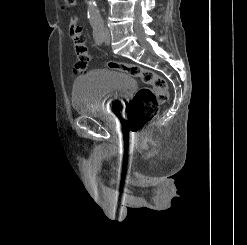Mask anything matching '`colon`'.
<instances>
[{"label": "colon", "mask_w": 247, "mask_h": 245, "mask_svg": "<svg viewBox=\"0 0 247 245\" xmlns=\"http://www.w3.org/2000/svg\"><path fill=\"white\" fill-rule=\"evenodd\" d=\"M75 0H64V6L71 8ZM70 38L74 41L77 56L73 64V72L83 73L88 69L91 60L89 48L79 33L71 30ZM108 68L139 78L146 86L141 87L131 98L127 108L128 128L133 133L140 132L144 126L153 120L168 99V87L165 79L156 72L138 66L118 61H108Z\"/></svg>", "instance_id": "obj_1"}]
</instances>
